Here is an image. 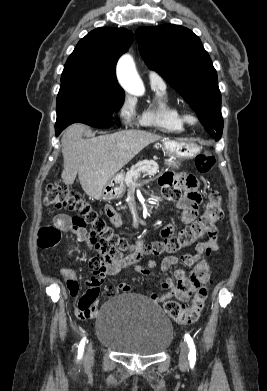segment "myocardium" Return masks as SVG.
Listing matches in <instances>:
<instances>
[{"instance_id":"obj_1","label":"myocardium","mask_w":267,"mask_h":391,"mask_svg":"<svg viewBox=\"0 0 267 391\" xmlns=\"http://www.w3.org/2000/svg\"><path fill=\"white\" fill-rule=\"evenodd\" d=\"M183 117H184L185 122L191 126H197L200 122L197 115H195L194 113H191V112H187V113L183 114Z\"/></svg>"}]
</instances>
